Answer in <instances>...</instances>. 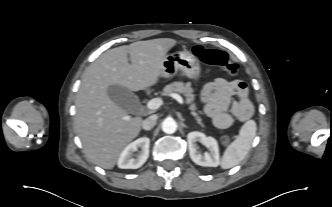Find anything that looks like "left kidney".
<instances>
[{
    "instance_id": "left-kidney-1",
    "label": "left kidney",
    "mask_w": 332,
    "mask_h": 207,
    "mask_svg": "<svg viewBox=\"0 0 332 207\" xmlns=\"http://www.w3.org/2000/svg\"><path fill=\"white\" fill-rule=\"evenodd\" d=\"M189 154L194 163L200 166L217 167L220 164L218 143L213 137H207L201 132H190L187 135ZM197 142L206 146L209 152L202 155L197 148Z\"/></svg>"
}]
</instances>
